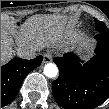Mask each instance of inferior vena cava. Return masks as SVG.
Returning a JSON list of instances; mask_svg holds the SVG:
<instances>
[{
  "label": "inferior vena cava",
  "mask_w": 109,
  "mask_h": 109,
  "mask_svg": "<svg viewBox=\"0 0 109 109\" xmlns=\"http://www.w3.org/2000/svg\"><path fill=\"white\" fill-rule=\"evenodd\" d=\"M36 51L37 48L32 45L22 46L16 48V55L22 59H33L36 57Z\"/></svg>",
  "instance_id": "inferior-vena-cava-1"
}]
</instances>
